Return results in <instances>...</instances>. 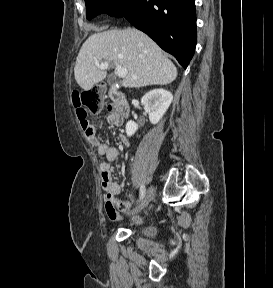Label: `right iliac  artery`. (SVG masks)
<instances>
[{"mask_svg": "<svg viewBox=\"0 0 273 288\" xmlns=\"http://www.w3.org/2000/svg\"><path fill=\"white\" fill-rule=\"evenodd\" d=\"M145 192H146L145 186L141 185V187H140V200H142L144 198Z\"/></svg>", "mask_w": 273, "mask_h": 288, "instance_id": "obj_1", "label": "right iliac artery"}]
</instances>
